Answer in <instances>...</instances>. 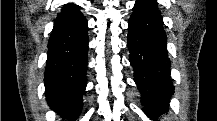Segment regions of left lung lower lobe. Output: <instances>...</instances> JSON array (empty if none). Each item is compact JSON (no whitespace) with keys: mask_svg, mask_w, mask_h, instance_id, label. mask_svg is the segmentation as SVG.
Listing matches in <instances>:
<instances>
[{"mask_svg":"<svg viewBox=\"0 0 217 121\" xmlns=\"http://www.w3.org/2000/svg\"><path fill=\"white\" fill-rule=\"evenodd\" d=\"M166 42L156 1L137 0L129 19L127 44L143 110L150 118L167 111L174 92Z\"/></svg>","mask_w":217,"mask_h":121,"instance_id":"obj_1","label":"left lung lower lobe"}]
</instances>
